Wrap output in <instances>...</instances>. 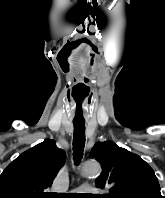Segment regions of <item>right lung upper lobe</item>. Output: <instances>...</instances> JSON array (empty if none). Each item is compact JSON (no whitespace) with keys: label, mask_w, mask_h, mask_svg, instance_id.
Wrapping results in <instances>:
<instances>
[{"label":"right lung upper lobe","mask_w":165,"mask_h":198,"mask_svg":"<svg viewBox=\"0 0 165 198\" xmlns=\"http://www.w3.org/2000/svg\"><path fill=\"white\" fill-rule=\"evenodd\" d=\"M65 153L54 140H45L22 153L0 175V198H51L47 192Z\"/></svg>","instance_id":"1"}]
</instances>
